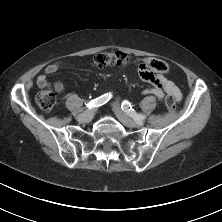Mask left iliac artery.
<instances>
[{
    "label": "left iliac artery",
    "instance_id": "1",
    "mask_svg": "<svg viewBox=\"0 0 222 222\" xmlns=\"http://www.w3.org/2000/svg\"><path fill=\"white\" fill-rule=\"evenodd\" d=\"M122 110H124L130 117H132L135 121H143L146 116L142 114H138L134 108L132 107L131 103L127 100H124L121 104Z\"/></svg>",
    "mask_w": 222,
    "mask_h": 222
}]
</instances>
